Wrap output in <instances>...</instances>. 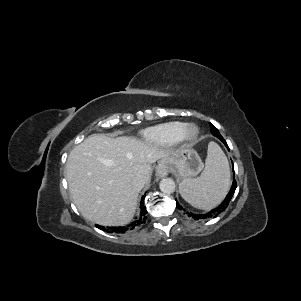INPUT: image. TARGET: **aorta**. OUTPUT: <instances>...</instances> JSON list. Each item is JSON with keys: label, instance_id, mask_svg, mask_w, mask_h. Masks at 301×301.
<instances>
[{"label": "aorta", "instance_id": "obj_1", "mask_svg": "<svg viewBox=\"0 0 301 301\" xmlns=\"http://www.w3.org/2000/svg\"><path fill=\"white\" fill-rule=\"evenodd\" d=\"M159 187H160V190L163 193L170 194V193H173L175 191L176 185H175V182H174L173 179L164 178L160 181Z\"/></svg>", "mask_w": 301, "mask_h": 301}]
</instances>
